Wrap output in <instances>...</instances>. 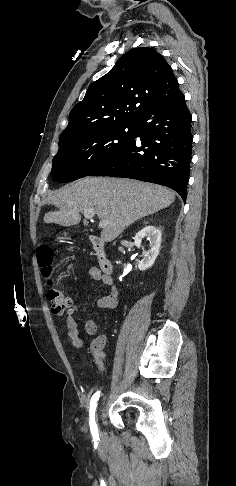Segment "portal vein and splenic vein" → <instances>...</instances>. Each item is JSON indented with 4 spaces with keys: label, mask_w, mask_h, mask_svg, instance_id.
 <instances>
[{
    "label": "portal vein and splenic vein",
    "mask_w": 236,
    "mask_h": 486,
    "mask_svg": "<svg viewBox=\"0 0 236 486\" xmlns=\"http://www.w3.org/2000/svg\"><path fill=\"white\" fill-rule=\"evenodd\" d=\"M95 216V212L93 210H85L84 217L87 219H92ZM106 225L105 222L101 221L99 223V227L103 228Z\"/></svg>",
    "instance_id": "1"
}]
</instances>
